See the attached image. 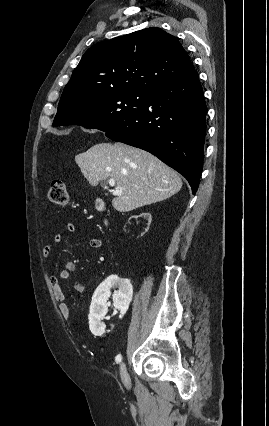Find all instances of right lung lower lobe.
Segmentation results:
<instances>
[{"label":"right lung lower lobe","instance_id":"1","mask_svg":"<svg viewBox=\"0 0 269 426\" xmlns=\"http://www.w3.org/2000/svg\"><path fill=\"white\" fill-rule=\"evenodd\" d=\"M206 114L203 90L193 69L150 90L140 112L105 134L157 156L182 174L195 194L203 167Z\"/></svg>","mask_w":269,"mask_h":426}]
</instances>
